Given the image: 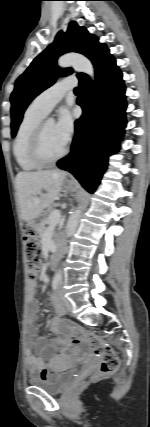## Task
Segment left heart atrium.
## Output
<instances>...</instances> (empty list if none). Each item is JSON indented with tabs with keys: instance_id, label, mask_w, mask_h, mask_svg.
I'll return each instance as SVG.
<instances>
[{
	"instance_id": "obj_1",
	"label": "left heart atrium",
	"mask_w": 150,
	"mask_h": 427,
	"mask_svg": "<svg viewBox=\"0 0 150 427\" xmlns=\"http://www.w3.org/2000/svg\"><path fill=\"white\" fill-rule=\"evenodd\" d=\"M74 125L71 114L64 110L61 112L59 119L55 125V132L61 141L66 146L73 135Z\"/></svg>"
}]
</instances>
